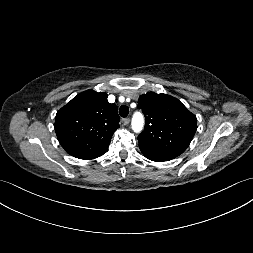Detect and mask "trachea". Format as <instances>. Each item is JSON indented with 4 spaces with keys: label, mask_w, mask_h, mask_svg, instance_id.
Returning <instances> with one entry per match:
<instances>
[{
    "label": "trachea",
    "mask_w": 253,
    "mask_h": 253,
    "mask_svg": "<svg viewBox=\"0 0 253 253\" xmlns=\"http://www.w3.org/2000/svg\"><path fill=\"white\" fill-rule=\"evenodd\" d=\"M129 113V108L126 105H122L119 109V114L121 117H126Z\"/></svg>",
    "instance_id": "trachea-1"
}]
</instances>
